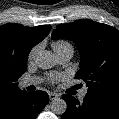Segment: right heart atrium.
I'll use <instances>...</instances> for the list:
<instances>
[{
	"label": "right heart atrium",
	"mask_w": 119,
	"mask_h": 119,
	"mask_svg": "<svg viewBox=\"0 0 119 119\" xmlns=\"http://www.w3.org/2000/svg\"><path fill=\"white\" fill-rule=\"evenodd\" d=\"M38 50H39L38 46L32 48L28 56L29 60H33L35 58L36 54L38 53Z\"/></svg>",
	"instance_id": "d8ad5b80"
}]
</instances>
